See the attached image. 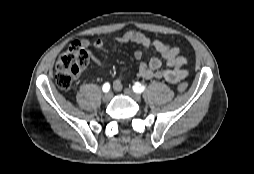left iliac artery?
<instances>
[{
    "label": "left iliac artery",
    "instance_id": "1",
    "mask_svg": "<svg viewBox=\"0 0 254 174\" xmlns=\"http://www.w3.org/2000/svg\"><path fill=\"white\" fill-rule=\"evenodd\" d=\"M145 89L144 85H141L139 82H136L133 86V91L136 93H142Z\"/></svg>",
    "mask_w": 254,
    "mask_h": 174
}]
</instances>
